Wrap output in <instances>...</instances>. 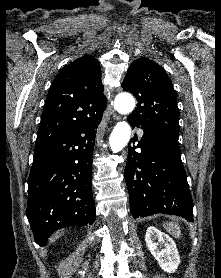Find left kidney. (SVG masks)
<instances>
[{"label": "left kidney", "instance_id": "obj_1", "mask_svg": "<svg viewBox=\"0 0 221 278\" xmlns=\"http://www.w3.org/2000/svg\"><path fill=\"white\" fill-rule=\"evenodd\" d=\"M145 241L162 270L174 273L180 264V257L173 239L156 227L150 226L146 231Z\"/></svg>", "mask_w": 221, "mask_h": 278}]
</instances>
